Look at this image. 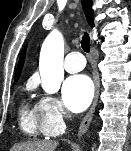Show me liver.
I'll use <instances>...</instances> for the list:
<instances>
[{"label": "liver", "instance_id": "1", "mask_svg": "<svg viewBox=\"0 0 131 151\" xmlns=\"http://www.w3.org/2000/svg\"><path fill=\"white\" fill-rule=\"evenodd\" d=\"M58 143L53 141H34L18 144L12 151H55Z\"/></svg>", "mask_w": 131, "mask_h": 151}]
</instances>
